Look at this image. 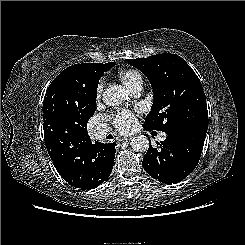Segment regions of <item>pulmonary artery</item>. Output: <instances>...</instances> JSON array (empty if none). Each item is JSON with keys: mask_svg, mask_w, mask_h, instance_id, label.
Returning <instances> with one entry per match:
<instances>
[{"mask_svg": "<svg viewBox=\"0 0 245 245\" xmlns=\"http://www.w3.org/2000/svg\"><path fill=\"white\" fill-rule=\"evenodd\" d=\"M142 90V85H138L133 91L132 93L137 96L139 95L140 91ZM108 130L105 126H100L98 128H96L95 130V136L100 139L102 137H104L106 134H107ZM160 139L161 140H165L166 139V134L165 133H162L160 135Z\"/></svg>", "mask_w": 245, "mask_h": 245, "instance_id": "obj_1", "label": "pulmonary artery"}]
</instances>
